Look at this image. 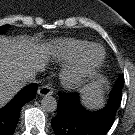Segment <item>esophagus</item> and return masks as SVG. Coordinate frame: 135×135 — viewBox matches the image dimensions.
<instances>
[{
  "mask_svg": "<svg viewBox=\"0 0 135 135\" xmlns=\"http://www.w3.org/2000/svg\"><path fill=\"white\" fill-rule=\"evenodd\" d=\"M37 93L40 96L52 95L53 94V88L50 85H44V86L39 87Z\"/></svg>",
  "mask_w": 135,
  "mask_h": 135,
  "instance_id": "obj_1",
  "label": "esophagus"
}]
</instances>
